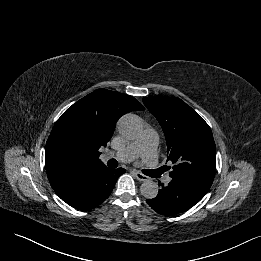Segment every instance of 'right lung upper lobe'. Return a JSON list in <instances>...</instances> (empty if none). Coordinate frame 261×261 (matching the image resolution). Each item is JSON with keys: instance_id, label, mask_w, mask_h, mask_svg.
Wrapping results in <instances>:
<instances>
[{"instance_id": "obj_1", "label": "right lung upper lobe", "mask_w": 261, "mask_h": 261, "mask_svg": "<svg viewBox=\"0 0 261 261\" xmlns=\"http://www.w3.org/2000/svg\"><path fill=\"white\" fill-rule=\"evenodd\" d=\"M144 107L133 97L97 89L68 108L55 123L45 148V168L53 187L105 166L106 146L117 120Z\"/></svg>"}]
</instances>
